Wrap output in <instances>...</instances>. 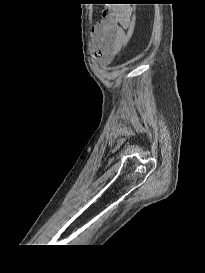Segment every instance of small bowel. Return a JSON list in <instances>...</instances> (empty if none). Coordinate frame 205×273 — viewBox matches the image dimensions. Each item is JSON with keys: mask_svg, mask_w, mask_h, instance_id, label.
I'll use <instances>...</instances> for the list:
<instances>
[{"mask_svg": "<svg viewBox=\"0 0 205 273\" xmlns=\"http://www.w3.org/2000/svg\"><path fill=\"white\" fill-rule=\"evenodd\" d=\"M130 14L120 7H110L104 18L93 27L92 47L101 65H108L125 44Z\"/></svg>", "mask_w": 205, "mask_h": 273, "instance_id": "1", "label": "small bowel"}]
</instances>
